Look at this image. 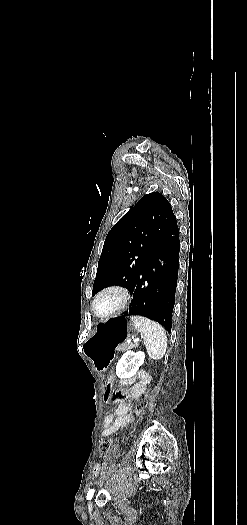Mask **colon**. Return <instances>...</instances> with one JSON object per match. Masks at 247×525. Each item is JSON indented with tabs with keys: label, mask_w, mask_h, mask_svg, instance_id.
<instances>
[{
	"label": "colon",
	"mask_w": 247,
	"mask_h": 525,
	"mask_svg": "<svg viewBox=\"0 0 247 525\" xmlns=\"http://www.w3.org/2000/svg\"><path fill=\"white\" fill-rule=\"evenodd\" d=\"M116 381H117V378L115 376V373H112L105 377L103 392L101 395V398L105 405H108L110 403L109 398H111L113 395V390H114L113 384H115ZM113 445H114V440L111 438L105 439L100 443V452L104 460L109 459V454H110V451Z\"/></svg>",
	"instance_id": "5ec220e1"
}]
</instances>
